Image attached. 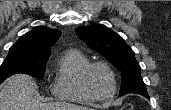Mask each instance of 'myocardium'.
<instances>
[{"label": "myocardium", "instance_id": "f54148a6", "mask_svg": "<svg viewBox=\"0 0 171 110\" xmlns=\"http://www.w3.org/2000/svg\"><path fill=\"white\" fill-rule=\"evenodd\" d=\"M96 67L104 68L109 73V75L111 76L113 88H112V92L108 96L100 97V96L95 95L89 86V82H88L89 75H90L91 71ZM81 86H82L84 92L92 100H94V101H109V100L114 98V96L117 92L116 74L113 71V69L111 68V66L109 64H107L106 62H102V61L91 62L84 68V70L81 73Z\"/></svg>", "mask_w": 171, "mask_h": 110}]
</instances>
